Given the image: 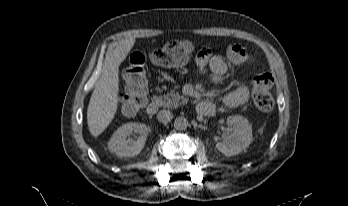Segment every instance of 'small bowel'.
I'll list each match as a JSON object with an SVG mask.
<instances>
[{
	"mask_svg": "<svg viewBox=\"0 0 348 206\" xmlns=\"http://www.w3.org/2000/svg\"><path fill=\"white\" fill-rule=\"evenodd\" d=\"M249 60V56L238 44L228 46L226 55H211L209 49H201L196 58V68L200 73L210 71L215 83L223 82L230 64L235 67H243ZM249 90L246 83L240 84L234 90L222 97L223 103L228 107H237L248 100Z\"/></svg>",
	"mask_w": 348,
	"mask_h": 206,
	"instance_id": "small-bowel-1",
	"label": "small bowel"
}]
</instances>
